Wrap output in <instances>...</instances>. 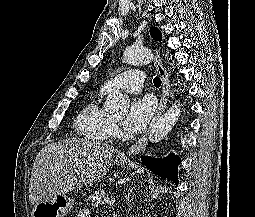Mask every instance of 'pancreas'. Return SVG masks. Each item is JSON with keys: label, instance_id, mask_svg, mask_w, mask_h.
<instances>
[{"label": "pancreas", "instance_id": "obj_1", "mask_svg": "<svg viewBox=\"0 0 255 217\" xmlns=\"http://www.w3.org/2000/svg\"><path fill=\"white\" fill-rule=\"evenodd\" d=\"M105 192L101 189L94 191L89 196V201L93 206L104 204Z\"/></svg>", "mask_w": 255, "mask_h": 217}]
</instances>
